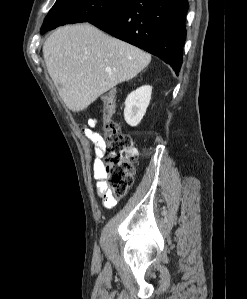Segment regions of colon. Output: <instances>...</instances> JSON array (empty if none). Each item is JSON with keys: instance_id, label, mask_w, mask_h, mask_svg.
I'll return each mask as SVG.
<instances>
[{"instance_id": "5ec220e1", "label": "colon", "mask_w": 247, "mask_h": 299, "mask_svg": "<svg viewBox=\"0 0 247 299\" xmlns=\"http://www.w3.org/2000/svg\"><path fill=\"white\" fill-rule=\"evenodd\" d=\"M115 108L116 94L110 91L103 97V178L111 194L122 197L133 184L138 151L114 119Z\"/></svg>"}]
</instances>
